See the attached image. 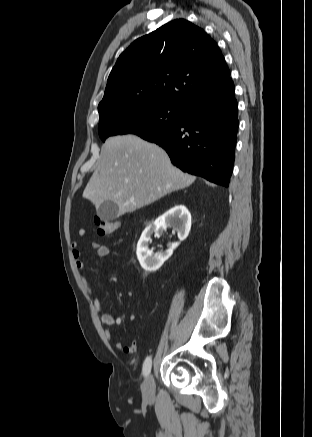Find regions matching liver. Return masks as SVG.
I'll return each instance as SVG.
<instances>
[{"mask_svg":"<svg viewBox=\"0 0 312 437\" xmlns=\"http://www.w3.org/2000/svg\"><path fill=\"white\" fill-rule=\"evenodd\" d=\"M194 180L195 176L173 166L158 145L135 135L113 136L101 148L97 169L83 197L96 209L104 201H113L119 215H123L183 189Z\"/></svg>","mask_w":312,"mask_h":437,"instance_id":"6515ba94","label":"liver"}]
</instances>
